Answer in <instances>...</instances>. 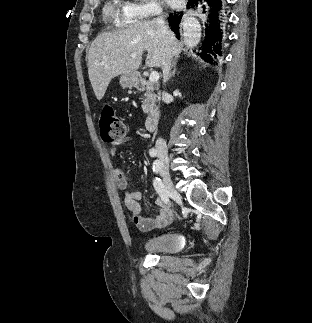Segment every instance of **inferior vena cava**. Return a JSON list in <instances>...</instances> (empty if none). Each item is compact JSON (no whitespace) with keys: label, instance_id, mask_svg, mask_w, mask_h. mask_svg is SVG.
<instances>
[{"label":"inferior vena cava","instance_id":"1","mask_svg":"<svg viewBox=\"0 0 312 323\" xmlns=\"http://www.w3.org/2000/svg\"><path fill=\"white\" fill-rule=\"evenodd\" d=\"M154 22H155V24H158V26H160V28L162 30V34H165V36H167L169 42H172V40H174V34H173V32H170V30H168V26H166L163 16H160V18H156V20H154ZM171 62H172V58H171V56H168V58H166V60H164V62L162 64V72H163L164 82H167V80H169V72H170V68H171ZM156 148H162V150H164V152H166V154H167L166 142H165V140H162V138H158V140H156Z\"/></svg>","mask_w":312,"mask_h":323}]
</instances>
